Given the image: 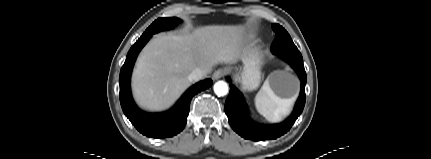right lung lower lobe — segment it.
Returning <instances> with one entry per match:
<instances>
[{
    "mask_svg": "<svg viewBox=\"0 0 431 159\" xmlns=\"http://www.w3.org/2000/svg\"><path fill=\"white\" fill-rule=\"evenodd\" d=\"M152 35H142L127 54L120 71V103L126 117L140 133L153 138H166L172 137L184 129L192 97L209 88L212 85V80L206 79L190 87L175 106L167 112L150 114L141 111L131 96L130 76L138 53Z\"/></svg>",
    "mask_w": 431,
    "mask_h": 159,
    "instance_id": "98d812e1",
    "label": "right lung lower lobe"
}]
</instances>
